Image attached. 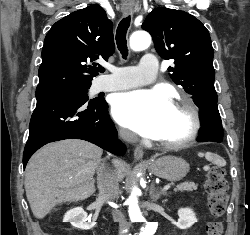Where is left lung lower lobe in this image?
I'll return each mask as SVG.
<instances>
[{
	"label": "left lung lower lobe",
	"mask_w": 250,
	"mask_h": 235,
	"mask_svg": "<svg viewBox=\"0 0 250 235\" xmlns=\"http://www.w3.org/2000/svg\"><path fill=\"white\" fill-rule=\"evenodd\" d=\"M200 119L202 127L199 142H220L223 135L222 122L218 111L217 103L212 102L200 108Z\"/></svg>",
	"instance_id": "obj_1"
}]
</instances>
